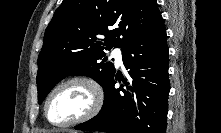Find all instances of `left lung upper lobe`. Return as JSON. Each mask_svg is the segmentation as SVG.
<instances>
[{
  "mask_svg": "<svg viewBox=\"0 0 221 133\" xmlns=\"http://www.w3.org/2000/svg\"><path fill=\"white\" fill-rule=\"evenodd\" d=\"M160 16L156 0H63L38 57V102L69 75L89 76L104 89L115 68L103 50L123 48Z\"/></svg>",
  "mask_w": 221,
  "mask_h": 133,
  "instance_id": "5c2ea615",
  "label": "left lung upper lobe"
}]
</instances>
